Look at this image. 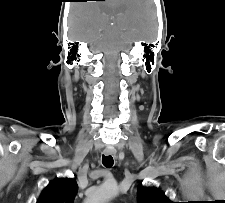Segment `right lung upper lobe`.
<instances>
[{
    "mask_svg": "<svg viewBox=\"0 0 225 203\" xmlns=\"http://www.w3.org/2000/svg\"><path fill=\"white\" fill-rule=\"evenodd\" d=\"M77 191L74 179L57 178L42 191L37 203H73Z\"/></svg>",
    "mask_w": 225,
    "mask_h": 203,
    "instance_id": "1",
    "label": "right lung upper lobe"
}]
</instances>
